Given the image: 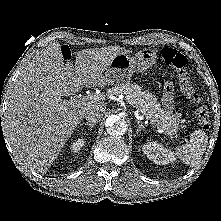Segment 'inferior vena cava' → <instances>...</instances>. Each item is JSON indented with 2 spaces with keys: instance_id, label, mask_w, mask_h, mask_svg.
<instances>
[{
  "instance_id": "inferior-vena-cava-1",
  "label": "inferior vena cava",
  "mask_w": 221,
  "mask_h": 221,
  "mask_svg": "<svg viewBox=\"0 0 221 221\" xmlns=\"http://www.w3.org/2000/svg\"><path fill=\"white\" fill-rule=\"evenodd\" d=\"M105 113V108L102 106H95L90 108L85 114V119L90 123L98 122Z\"/></svg>"
}]
</instances>
